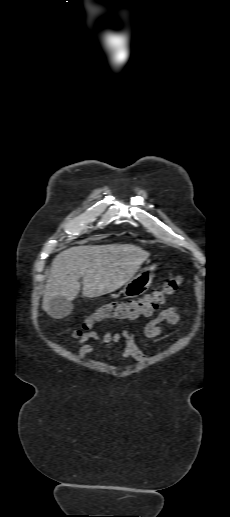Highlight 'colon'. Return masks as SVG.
Returning a JSON list of instances; mask_svg holds the SVG:
<instances>
[{
  "instance_id": "5ec220e1",
  "label": "colon",
  "mask_w": 230,
  "mask_h": 517,
  "mask_svg": "<svg viewBox=\"0 0 230 517\" xmlns=\"http://www.w3.org/2000/svg\"><path fill=\"white\" fill-rule=\"evenodd\" d=\"M181 278L170 274L167 276L160 289L146 295L139 300L113 301L98 307L93 313L86 316L81 324L79 334L91 329L96 323L105 319L118 321H134L141 317L151 316L166 298L178 288Z\"/></svg>"
}]
</instances>
